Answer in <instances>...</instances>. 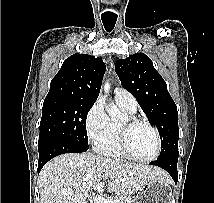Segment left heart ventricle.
I'll use <instances>...</instances> for the list:
<instances>
[{
	"label": "left heart ventricle",
	"mask_w": 214,
	"mask_h": 203,
	"mask_svg": "<svg viewBox=\"0 0 214 203\" xmlns=\"http://www.w3.org/2000/svg\"><path fill=\"white\" fill-rule=\"evenodd\" d=\"M128 144L131 152L139 158L151 157L156 151L155 135L145 125H135L129 130Z\"/></svg>",
	"instance_id": "1"
}]
</instances>
